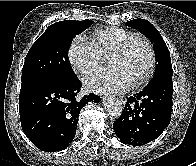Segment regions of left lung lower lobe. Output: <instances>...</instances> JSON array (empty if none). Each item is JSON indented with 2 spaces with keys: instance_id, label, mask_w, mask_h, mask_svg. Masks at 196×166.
<instances>
[{
  "instance_id": "1",
  "label": "left lung lower lobe",
  "mask_w": 196,
  "mask_h": 166,
  "mask_svg": "<svg viewBox=\"0 0 196 166\" xmlns=\"http://www.w3.org/2000/svg\"><path fill=\"white\" fill-rule=\"evenodd\" d=\"M172 94V76H167L151 80L142 91L127 98L113 125L121 142L140 146L156 139L170 123Z\"/></svg>"
}]
</instances>
